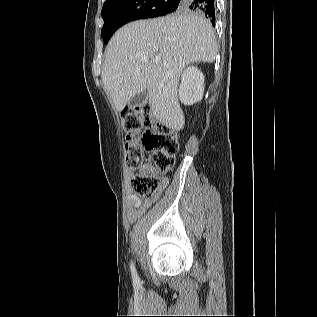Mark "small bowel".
<instances>
[{"label": "small bowel", "instance_id": "c3829d8e", "mask_svg": "<svg viewBox=\"0 0 317 317\" xmlns=\"http://www.w3.org/2000/svg\"><path fill=\"white\" fill-rule=\"evenodd\" d=\"M168 183L167 179L162 180V188H165ZM154 200H144L142 201L134 194H128L127 197V218L130 222H135L140 218L146 210L152 205Z\"/></svg>", "mask_w": 317, "mask_h": 317}]
</instances>
